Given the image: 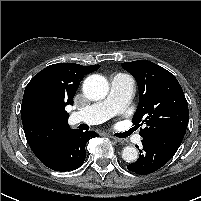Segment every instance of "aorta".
<instances>
[{"mask_svg": "<svg viewBox=\"0 0 201 201\" xmlns=\"http://www.w3.org/2000/svg\"><path fill=\"white\" fill-rule=\"evenodd\" d=\"M109 91L107 80L98 74L87 77L83 83V92L86 97L93 101L104 99ZM124 161L131 163L138 159V150L133 146H127L122 150Z\"/></svg>", "mask_w": 201, "mask_h": 201, "instance_id": "1", "label": "aorta"}]
</instances>
